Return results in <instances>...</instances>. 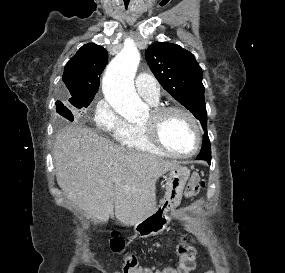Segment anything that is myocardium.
I'll return each mask as SVG.
<instances>
[{
	"label": "myocardium",
	"instance_id": "f54148a6",
	"mask_svg": "<svg viewBox=\"0 0 285 273\" xmlns=\"http://www.w3.org/2000/svg\"><path fill=\"white\" fill-rule=\"evenodd\" d=\"M171 112H178L186 116L195 129V146L189 153L183 154L169 149L162 141L159 134L160 120ZM152 120L149 123H142V129L148 140L162 152L177 158H191L195 156L202 145V127L196 116L188 109L178 105L156 106L151 110Z\"/></svg>",
	"mask_w": 285,
	"mask_h": 273
}]
</instances>
